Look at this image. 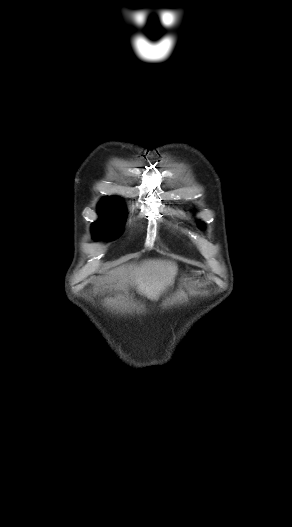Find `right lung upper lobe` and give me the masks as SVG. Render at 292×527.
Here are the masks:
<instances>
[{
  "mask_svg": "<svg viewBox=\"0 0 292 527\" xmlns=\"http://www.w3.org/2000/svg\"><path fill=\"white\" fill-rule=\"evenodd\" d=\"M100 204H107V205H113V206H123L124 207V204L121 200L117 199V198H113V197H106L104 198Z\"/></svg>",
  "mask_w": 292,
  "mask_h": 527,
  "instance_id": "right-lung-upper-lobe-1",
  "label": "right lung upper lobe"
}]
</instances>
